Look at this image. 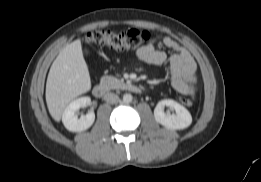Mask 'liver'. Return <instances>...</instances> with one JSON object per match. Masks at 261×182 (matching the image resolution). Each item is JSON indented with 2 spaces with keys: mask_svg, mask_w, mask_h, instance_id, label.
<instances>
[{
  "mask_svg": "<svg viewBox=\"0 0 261 182\" xmlns=\"http://www.w3.org/2000/svg\"><path fill=\"white\" fill-rule=\"evenodd\" d=\"M91 89L81 40L63 48L51 65L46 83V103L52 118L59 122L66 106Z\"/></svg>",
  "mask_w": 261,
  "mask_h": 182,
  "instance_id": "obj_1",
  "label": "liver"
}]
</instances>
